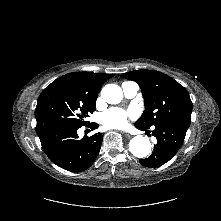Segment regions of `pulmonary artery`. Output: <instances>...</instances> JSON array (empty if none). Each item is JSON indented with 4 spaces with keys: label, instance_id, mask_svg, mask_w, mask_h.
Here are the masks:
<instances>
[{
    "label": "pulmonary artery",
    "instance_id": "e3ab8cb5",
    "mask_svg": "<svg viewBox=\"0 0 221 221\" xmlns=\"http://www.w3.org/2000/svg\"><path fill=\"white\" fill-rule=\"evenodd\" d=\"M122 90L127 98H134L138 93L139 86L135 82H124L122 84Z\"/></svg>",
    "mask_w": 221,
    "mask_h": 221
}]
</instances>
